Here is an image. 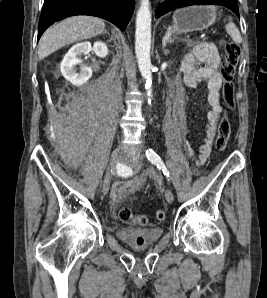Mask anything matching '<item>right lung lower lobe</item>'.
Here are the masks:
<instances>
[{
    "instance_id": "right-lung-lower-lobe-1",
    "label": "right lung lower lobe",
    "mask_w": 267,
    "mask_h": 298,
    "mask_svg": "<svg viewBox=\"0 0 267 298\" xmlns=\"http://www.w3.org/2000/svg\"><path fill=\"white\" fill-rule=\"evenodd\" d=\"M134 3L135 0H44L37 40L54 22L75 15L100 17L123 31L133 14Z\"/></svg>"
}]
</instances>
